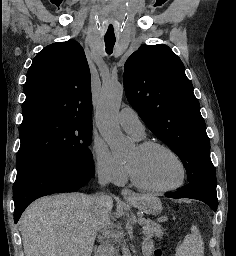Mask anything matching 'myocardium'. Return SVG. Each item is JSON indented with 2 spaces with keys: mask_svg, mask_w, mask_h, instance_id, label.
<instances>
[{
  "mask_svg": "<svg viewBox=\"0 0 236 256\" xmlns=\"http://www.w3.org/2000/svg\"><path fill=\"white\" fill-rule=\"evenodd\" d=\"M137 148L142 153H150L155 150H164L170 153L179 162L182 169V174L179 181L173 185H170L167 187H152L142 182L138 177V175L136 174L135 170L129 164H127L131 182L135 187L147 193L160 194V193H166V192H170L175 189H178L184 184L187 178V166L184 159L181 157V155L177 151H175L173 148L169 147L166 144L153 142V141H147V142L141 143L137 146Z\"/></svg>",
  "mask_w": 236,
  "mask_h": 256,
  "instance_id": "1",
  "label": "myocardium"
}]
</instances>
